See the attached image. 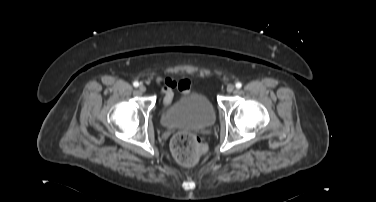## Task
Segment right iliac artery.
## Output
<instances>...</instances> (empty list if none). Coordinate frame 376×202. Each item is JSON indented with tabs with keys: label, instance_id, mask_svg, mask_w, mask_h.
<instances>
[{
	"label": "right iliac artery",
	"instance_id": "obj_1",
	"mask_svg": "<svg viewBox=\"0 0 376 202\" xmlns=\"http://www.w3.org/2000/svg\"><path fill=\"white\" fill-rule=\"evenodd\" d=\"M133 86L134 87H138L139 86V83L137 81L133 82Z\"/></svg>",
	"mask_w": 376,
	"mask_h": 202
}]
</instances>
